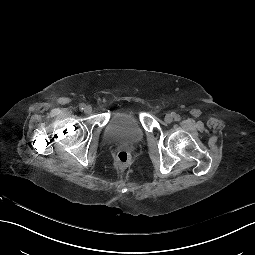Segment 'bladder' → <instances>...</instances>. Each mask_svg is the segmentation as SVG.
Returning a JSON list of instances; mask_svg holds the SVG:
<instances>
[{
	"mask_svg": "<svg viewBox=\"0 0 255 255\" xmlns=\"http://www.w3.org/2000/svg\"><path fill=\"white\" fill-rule=\"evenodd\" d=\"M108 141L126 139L139 142L143 138V129L133 117V113L114 116L107 123L104 133Z\"/></svg>",
	"mask_w": 255,
	"mask_h": 255,
	"instance_id": "obj_1",
	"label": "bladder"
}]
</instances>
